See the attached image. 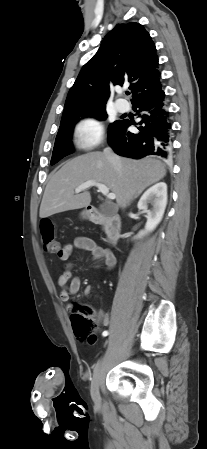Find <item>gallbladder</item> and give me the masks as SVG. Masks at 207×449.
Listing matches in <instances>:
<instances>
[{
	"mask_svg": "<svg viewBox=\"0 0 207 449\" xmlns=\"http://www.w3.org/2000/svg\"><path fill=\"white\" fill-rule=\"evenodd\" d=\"M100 210L102 213L106 214V215H111L112 214V210L106 206H101Z\"/></svg>",
	"mask_w": 207,
	"mask_h": 449,
	"instance_id": "gallbladder-1",
	"label": "gallbladder"
}]
</instances>
